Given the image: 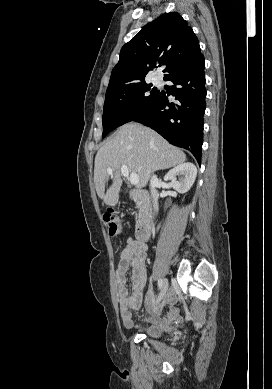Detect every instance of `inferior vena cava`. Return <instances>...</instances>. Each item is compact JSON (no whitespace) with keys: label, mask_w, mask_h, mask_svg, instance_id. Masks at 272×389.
Listing matches in <instances>:
<instances>
[{"label":"inferior vena cava","mask_w":272,"mask_h":389,"mask_svg":"<svg viewBox=\"0 0 272 389\" xmlns=\"http://www.w3.org/2000/svg\"><path fill=\"white\" fill-rule=\"evenodd\" d=\"M159 186H160L159 179L157 178L156 175H152V177L150 179V191H151V196L153 199V207H154L155 212H158V210H159V206H158L159 194H158V191L156 190V188H158Z\"/></svg>","instance_id":"602c4592"}]
</instances>
